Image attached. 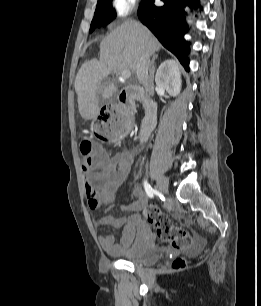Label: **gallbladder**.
Listing matches in <instances>:
<instances>
[{
  "mask_svg": "<svg viewBox=\"0 0 261 306\" xmlns=\"http://www.w3.org/2000/svg\"><path fill=\"white\" fill-rule=\"evenodd\" d=\"M108 83H109V80H108V79H105V80H103V81L100 83V85H99V93H100V94H102V92L104 91V89L107 87ZM98 102H99V104H103V103L105 102V100L100 98V99L98 100Z\"/></svg>",
  "mask_w": 261,
  "mask_h": 306,
  "instance_id": "1",
  "label": "gallbladder"
}]
</instances>
